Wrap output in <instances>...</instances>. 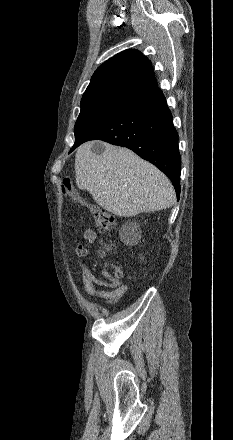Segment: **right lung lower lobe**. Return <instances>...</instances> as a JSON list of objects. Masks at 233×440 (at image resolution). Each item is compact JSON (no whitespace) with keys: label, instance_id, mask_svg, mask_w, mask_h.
Segmentation results:
<instances>
[{"label":"right lung lower lobe","instance_id":"obj_1","mask_svg":"<svg viewBox=\"0 0 233 440\" xmlns=\"http://www.w3.org/2000/svg\"><path fill=\"white\" fill-rule=\"evenodd\" d=\"M100 139L133 150L153 163L172 181L180 196L181 157L178 134L162 91L157 87L125 104V106L77 144Z\"/></svg>","mask_w":233,"mask_h":440}]
</instances>
